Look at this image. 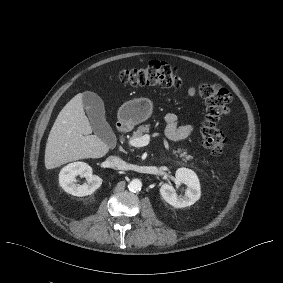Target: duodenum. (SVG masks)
<instances>
[{"mask_svg": "<svg viewBox=\"0 0 283 283\" xmlns=\"http://www.w3.org/2000/svg\"><path fill=\"white\" fill-rule=\"evenodd\" d=\"M116 129L119 133H123L126 129V126L123 123H118L116 126Z\"/></svg>", "mask_w": 283, "mask_h": 283, "instance_id": "410a0bca", "label": "duodenum"}]
</instances>
